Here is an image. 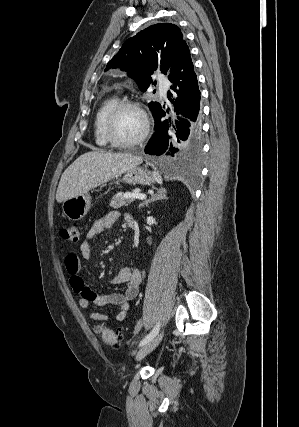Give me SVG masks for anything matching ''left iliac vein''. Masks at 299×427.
Returning a JSON list of instances; mask_svg holds the SVG:
<instances>
[{"label": "left iliac vein", "mask_w": 299, "mask_h": 427, "mask_svg": "<svg viewBox=\"0 0 299 427\" xmlns=\"http://www.w3.org/2000/svg\"><path fill=\"white\" fill-rule=\"evenodd\" d=\"M164 336V332L161 331L159 334H157L152 340H150L148 343H146L136 354V360L139 361L142 358H144L148 353H150L152 350H154L159 343L161 342L162 338Z\"/></svg>", "instance_id": "left-iliac-vein-1"}]
</instances>
